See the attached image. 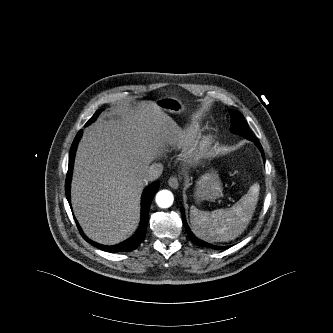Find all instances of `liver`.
<instances>
[{
  "label": "liver",
  "instance_id": "6515ba94",
  "mask_svg": "<svg viewBox=\"0 0 333 333\" xmlns=\"http://www.w3.org/2000/svg\"><path fill=\"white\" fill-rule=\"evenodd\" d=\"M178 127L154 101L123 108L120 116L88 127L78 146L71 186L74 214L92 240L114 245L140 220L149 164Z\"/></svg>",
  "mask_w": 333,
  "mask_h": 333
}]
</instances>
